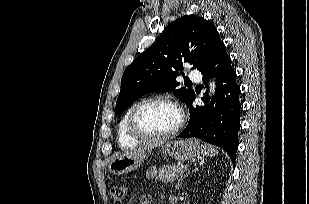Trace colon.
<instances>
[{
    "mask_svg": "<svg viewBox=\"0 0 309 204\" xmlns=\"http://www.w3.org/2000/svg\"><path fill=\"white\" fill-rule=\"evenodd\" d=\"M110 195L113 199V204H123L126 196V187L120 184H113L110 187Z\"/></svg>",
    "mask_w": 309,
    "mask_h": 204,
    "instance_id": "1",
    "label": "colon"
}]
</instances>
